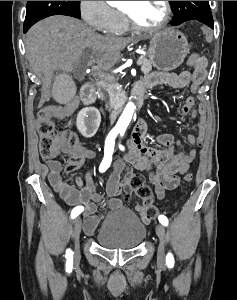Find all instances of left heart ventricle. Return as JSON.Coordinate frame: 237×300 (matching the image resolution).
I'll return each mask as SVG.
<instances>
[{"label": "left heart ventricle", "instance_id": "left-heart-ventricle-1", "mask_svg": "<svg viewBox=\"0 0 237 300\" xmlns=\"http://www.w3.org/2000/svg\"><path fill=\"white\" fill-rule=\"evenodd\" d=\"M123 9L127 10L138 24L144 26L158 25L165 15L163 1H121Z\"/></svg>", "mask_w": 237, "mask_h": 300}]
</instances>
